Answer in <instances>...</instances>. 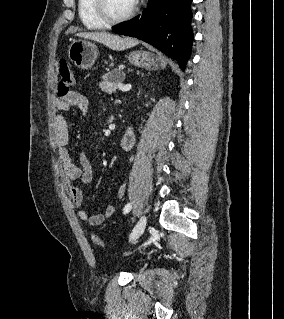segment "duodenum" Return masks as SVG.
Masks as SVG:
<instances>
[{
    "mask_svg": "<svg viewBox=\"0 0 284 319\" xmlns=\"http://www.w3.org/2000/svg\"><path fill=\"white\" fill-rule=\"evenodd\" d=\"M135 140V131L134 129L130 128L122 135L120 139V147L123 150H130L134 146Z\"/></svg>",
    "mask_w": 284,
    "mask_h": 319,
    "instance_id": "410a0bca",
    "label": "duodenum"
}]
</instances>
